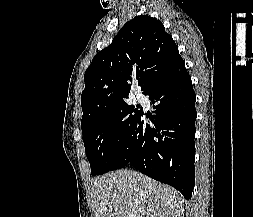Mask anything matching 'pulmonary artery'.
<instances>
[{
    "label": "pulmonary artery",
    "instance_id": "pulmonary-artery-1",
    "mask_svg": "<svg viewBox=\"0 0 253 217\" xmlns=\"http://www.w3.org/2000/svg\"><path fill=\"white\" fill-rule=\"evenodd\" d=\"M136 100H137L138 102H142V101L144 100V97H143L141 94H137V95H136Z\"/></svg>",
    "mask_w": 253,
    "mask_h": 217
}]
</instances>
